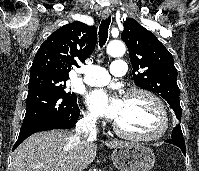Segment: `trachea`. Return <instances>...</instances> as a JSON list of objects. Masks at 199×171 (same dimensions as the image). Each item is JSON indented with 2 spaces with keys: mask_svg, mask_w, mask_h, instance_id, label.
<instances>
[{
  "mask_svg": "<svg viewBox=\"0 0 199 171\" xmlns=\"http://www.w3.org/2000/svg\"><path fill=\"white\" fill-rule=\"evenodd\" d=\"M111 22V17H108L101 21L100 27H99V46L102 48L108 38V29Z\"/></svg>",
  "mask_w": 199,
  "mask_h": 171,
  "instance_id": "1",
  "label": "trachea"
}]
</instances>
